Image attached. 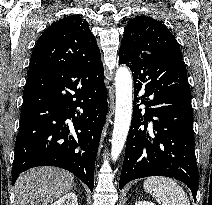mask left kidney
<instances>
[{"mask_svg":"<svg viewBox=\"0 0 212 205\" xmlns=\"http://www.w3.org/2000/svg\"><path fill=\"white\" fill-rule=\"evenodd\" d=\"M135 205H155V204L149 201H137Z\"/></svg>","mask_w":212,"mask_h":205,"instance_id":"1","label":"left kidney"}]
</instances>
